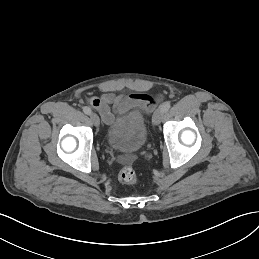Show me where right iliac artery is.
<instances>
[{
  "label": "right iliac artery",
  "mask_w": 259,
  "mask_h": 259,
  "mask_svg": "<svg viewBox=\"0 0 259 259\" xmlns=\"http://www.w3.org/2000/svg\"><path fill=\"white\" fill-rule=\"evenodd\" d=\"M83 112L85 113V114H90L91 113V109L89 108V107H87V106H84L83 107Z\"/></svg>",
  "instance_id": "obj_1"
}]
</instances>
